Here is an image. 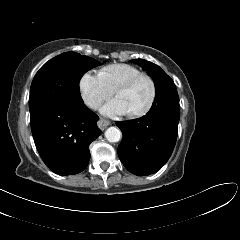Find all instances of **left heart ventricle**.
<instances>
[{"label": "left heart ventricle", "instance_id": "obj_1", "mask_svg": "<svg viewBox=\"0 0 240 240\" xmlns=\"http://www.w3.org/2000/svg\"><path fill=\"white\" fill-rule=\"evenodd\" d=\"M127 105L129 112L139 111L146 106L151 96V85L148 79L141 78L129 89L117 95Z\"/></svg>", "mask_w": 240, "mask_h": 240}]
</instances>
